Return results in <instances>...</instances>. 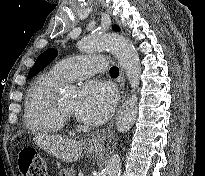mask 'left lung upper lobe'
Here are the masks:
<instances>
[{"instance_id": "5c2ea615", "label": "left lung upper lobe", "mask_w": 205, "mask_h": 176, "mask_svg": "<svg viewBox=\"0 0 205 176\" xmlns=\"http://www.w3.org/2000/svg\"><path fill=\"white\" fill-rule=\"evenodd\" d=\"M113 30L114 31H119V27L118 26H113ZM56 56H57V50L53 49V48L52 49H48L45 52H43L42 54H40V56L37 58L35 64L31 68V70H30V72L28 74V77H31L34 74H36L37 72H39L40 70H42Z\"/></svg>"}]
</instances>
